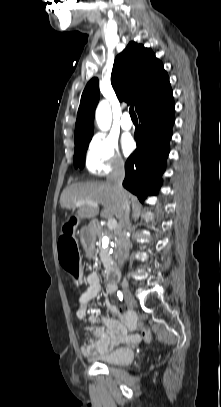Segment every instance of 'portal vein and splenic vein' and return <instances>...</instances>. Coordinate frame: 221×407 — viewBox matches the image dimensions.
Returning a JSON list of instances; mask_svg holds the SVG:
<instances>
[{
    "label": "portal vein and splenic vein",
    "instance_id": "portal-vein-and-splenic-vein-1",
    "mask_svg": "<svg viewBox=\"0 0 221 407\" xmlns=\"http://www.w3.org/2000/svg\"><path fill=\"white\" fill-rule=\"evenodd\" d=\"M89 204L95 208H98V203L94 202V201H90V200H86V201H79L76 203V207H79L83 204ZM107 227L109 230H115L117 228V220L115 218H109L108 222H107Z\"/></svg>",
    "mask_w": 221,
    "mask_h": 407
}]
</instances>
